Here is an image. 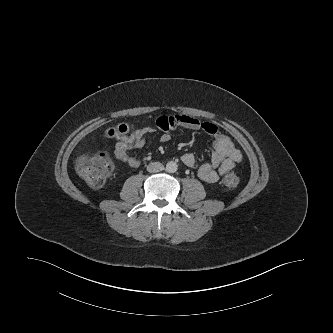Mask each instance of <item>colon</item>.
<instances>
[{
    "mask_svg": "<svg viewBox=\"0 0 333 333\" xmlns=\"http://www.w3.org/2000/svg\"><path fill=\"white\" fill-rule=\"evenodd\" d=\"M130 126L128 124H119L107 131L108 136H119L128 133ZM113 164L109 155L105 152H99L93 155L80 156L76 161V171L88 185L93 188L101 187L110 176ZM239 183V178L234 173H228L223 180L226 188H235Z\"/></svg>",
    "mask_w": 333,
    "mask_h": 333,
    "instance_id": "obj_1",
    "label": "colon"
}]
</instances>
